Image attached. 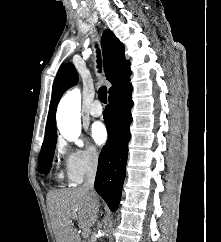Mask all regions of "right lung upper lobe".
I'll return each instance as SVG.
<instances>
[{"label":"right lung upper lobe","mask_w":221,"mask_h":242,"mask_svg":"<svg viewBox=\"0 0 221 242\" xmlns=\"http://www.w3.org/2000/svg\"><path fill=\"white\" fill-rule=\"evenodd\" d=\"M101 45L103 50L104 71L107 80L112 83V89L125 77L131 74L130 64L124 56V45L110 30H105ZM78 81V75L75 67L67 63L60 67L52 88V98L50 102L49 114L46 124L45 138L57 136L56 133V108L62 94L68 88L75 85Z\"/></svg>","instance_id":"right-lung-upper-lobe-1"}]
</instances>
